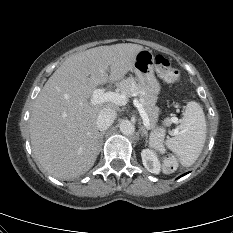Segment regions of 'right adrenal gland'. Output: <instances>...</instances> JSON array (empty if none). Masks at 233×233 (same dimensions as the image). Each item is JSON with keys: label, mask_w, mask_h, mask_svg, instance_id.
I'll use <instances>...</instances> for the list:
<instances>
[{"label": "right adrenal gland", "mask_w": 233, "mask_h": 233, "mask_svg": "<svg viewBox=\"0 0 233 233\" xmlns=\"http://www.w3.org/2000/svg\"><path fill=\"white\" fill-rule=\"evenodd\" d=\"M104 134H105V131L99 134V144L102 143Z\"/></svg>", "instance_id": "2a0ac1e0"}]
</instances>
